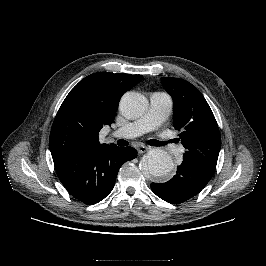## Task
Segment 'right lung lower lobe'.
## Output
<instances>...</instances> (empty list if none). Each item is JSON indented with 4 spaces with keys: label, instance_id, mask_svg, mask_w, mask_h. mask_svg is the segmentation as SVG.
Here are the masks:
<instances>
[{
    "label": "right lung lower lobe",
    "instance_id": "obj_1",
    "mask_svg": "<svg viewBox=\"0 0 266 266\" xmlns=\"http://www.w3.org/2000/svg\"><path fill=\"white\" fill-rule=\"evenodd\" d=\"M132 147L106 145L53 157L58 178L76 199L92 205L113 189L121 165L136 158Z\"/></svg>",
    "mask_w": 266,
    "mask_h": 266
}]
</instances>
